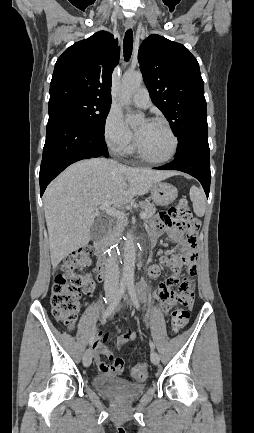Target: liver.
Instances as JSON below:
<instances>
[{"label":"liver","mask_w":254,"mask_h":433,"mask_svg":"<svg viewBox=\"0 0 254 433\" xmlns=\"http://www.w3.org/2000/svg\"><path fill=\"white\" fill-rule=\"evenodd\" d=\"M175 174L129 167L105 158L69 166L44 195L52 267L89 243L98 206L106 202L125 206L134 196L146 194L155 183Z\"/></svg>","instance_id":"liver-1"}]
</instances>
